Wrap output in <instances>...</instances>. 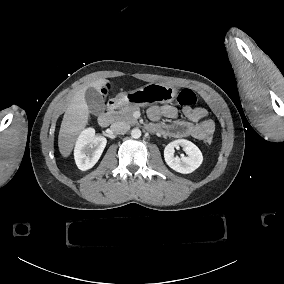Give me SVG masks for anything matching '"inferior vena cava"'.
<instances>
[{"label":"inferior vena cava","instance_id":"602c4592","mask_svg":"<svg viewBox=\"0 0 284 284\" xmlns=\"http://www.w3.org/2000/svg\"><path fill=\"white\" fill-rule=\"evenodd\" d=\"M130 129L129 124L119 121L110 126V130L115 134H124Z\"/></svg>","mask_w":284,"mask_h":284}]
</instances>
